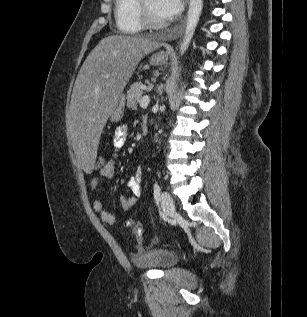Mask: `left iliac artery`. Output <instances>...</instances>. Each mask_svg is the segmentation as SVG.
<instances>
[{"mask_svg": "<svg viewBox=\"0 0 307 317\" xmlns=\"http://www.w3.org/2000/svg\"><path fill=\"white\" fill-rule=\"evenodd\" d=\"M153 191H154V199H155L156 203L158 204L159 200H160L161 188H160V185L157 181L154 183Z\"/></svg>", "mask_w": 307, "mask_h": 317, "instance_id": "left-iliac-artery-1", "label": "left iliac artery"}]
</instances>
